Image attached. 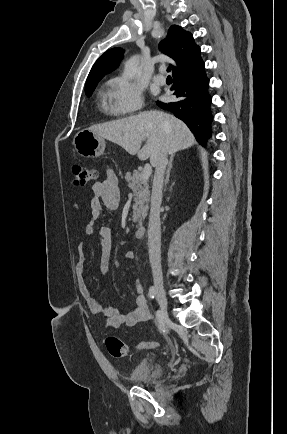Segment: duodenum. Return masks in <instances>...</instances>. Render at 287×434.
Segmentation results:
<instances>
[{
	"label": "duodenum",
	"mask_w": 287,
	"mask_h": 434,
	"mask_svg": "<svg viewBox=\"0 0 287 434\" xmlns=\"http://www.w3.org/2000/svg\"><path fill=\"white\" fill-rule=\"evenodd\" d=\"M145 232H146V227L144 223H141L138 228L136 229L135 232V238L136 239H141L145 236Z\"/></svg>",
	"instance_id": "410a0bca"
}]
</instances>
